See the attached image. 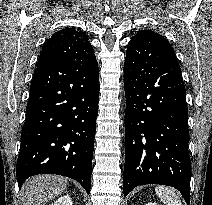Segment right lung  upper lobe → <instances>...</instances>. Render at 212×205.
I'll use <instances>...</instances> for the list:
<instances>
[{
  "mask_svg": "<svg viewBox=\"0 0 212 205\" xmlns=\"http://www.w3.org/2000/svg\"><path fill=\"white\" fill-rule=\"evenodd\" d=\"M95 54L86 33L80 29L67 27L55 32L43 46L38 65L63 60H94Z\"/></svg>",
  "mask_w": 212,
  "mask_h": 205,
  "instance_id": "obj_1",
  "label": "right lung upper lobe"
}]
</instances>
